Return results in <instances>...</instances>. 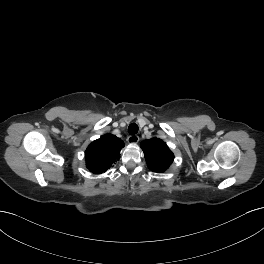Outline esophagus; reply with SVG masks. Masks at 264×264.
Listing matches in <instances>:
<instances>
[{
    "label": "esophagus",
    "mask_w": 264,
    "mask_h": 264,
    "mask_svg": "<svg viewBox=\"0 0 264 264\" xmlns=\"http://www.w3.org/2000/svg\"><path fill=\"white\" fill-rule=\"evenodd\" d=\"M127 141H128V143H130V144H136V143H138V141H139V136H138V135H131V136H129V137L127 138Z\"/></svg>",
    "instance_id": "34e87169"
}]
</instances>
